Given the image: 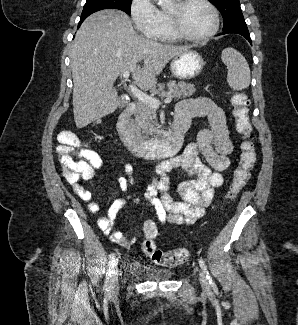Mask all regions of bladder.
Returning <instances> with one entry per match:
<instances>
[{"label":"bladder","mask_w":298,"mask_h":325,"mask_svg":"<svg viewBox=\"0 0 298 325\" xmlns=\"http://www.w3.org/2000/svg\"><path fill=\"white\" fill-rule=\"evenodd\" d=\"M128 272L141 281L162 282L172 278L173 272L167 268H158L141 260H132Z\"/></svg>","instance_id":"bladder-1"}]
</instances>
